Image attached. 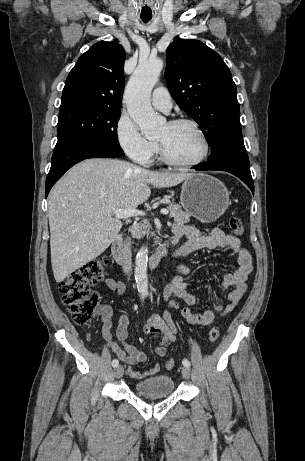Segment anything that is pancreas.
Segmentation results:
<instances>
[{"label":"pancreas","mask_w":305,"mask_h":461,"mask_svg":"<svg viewBox=\"0 0 305 461\" xmlns=\"http://www.w3.org/2000/svg\"><path fill=\"white\" fill-rule=\"evenodd\" d=\"M170 216L174 218L176 223L186 224L190 221L191 214L181 209V206L172 202H167ZM151 225L147 221H143L133 227L132 234L135 238L140 239L144 235H149Z\"/></svg>","instance_id":"pancreas-1"}]
</instances>
